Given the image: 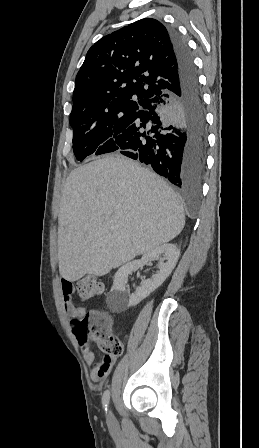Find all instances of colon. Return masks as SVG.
Instances as JSON below:
<instances>
[{"label": "colon", "instance_id": "5ec220e1", "mask_svg": "<svg viewBox=\"0 0 259 448\" xmlns=\"http://www.w3.org/2000/svg\"><path fill=\"white\" fill-rule=\"evenodd\" d=\"M102 291V283L93 276H86L77 284V295L82 301L96 298ZM74 331L81 344L92 340L107 356L117 357L123 351L120 339L111 330L109 316L103 310L91 309L75 320Z\"/></svg>", "mask_w": 259, "mask_h": 448}]
</instances>
